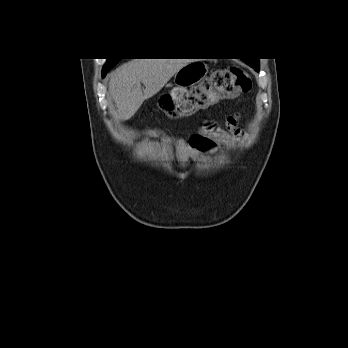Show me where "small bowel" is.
<instances>
[{
    "label": "small bowel",
    "mask_w": 348,
    "mask_h": 348,
    "mask_svg": "<svg viewBox=\"0 0 348 348\" xmlns=\"http://www.w3.org/2000/svg\"><path fill=\"white\" fill-rule=\"evenodd\" d=\"M228 133L234 138H239L243 135L242 129L238 126L237 116H230L227 119ZM149 134L161 139L160 147L167 148L175 146L180 164L186 167L195 151L206 152L215 148L214 142L201 134L192 135L188 140L180 137H171L160 130H151Z\"/></svg>",
    "instance_id": "small-bowel-1"
}]
</instances>
